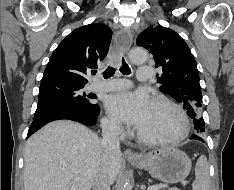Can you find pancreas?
Returning a JSON list of instances; mask_svg holds the SVG:
<instances>
[{"mask_svg":"<svg viewBox=\"0 0 234 190\" xmlns=\"http://www.w3.org/2000/svg\"><path fill=\"white\" fill-rule=\"evenodd\" d=\"M169 190H180V189H178V188H171V189H169Z\"/></svg>","mask_w":234,"mask_h":190,"instance_id":"obj_1","label":"pancreas"}]
</instances>
